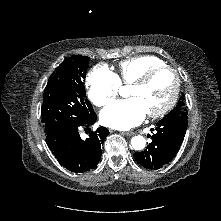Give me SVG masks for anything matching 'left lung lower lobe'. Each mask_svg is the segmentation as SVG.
<instances>
[{
	"label": "left lung lower lobe",
	"instance_id": "obj_1",
	"mask_svg": "<svg viewBox=\"0 0 221 221\" xmlns=\"http://www.w3.org/2000/svg\"><path fill=\"white\" fill-rule=\"evenodd\" d=\"M187 126V119L179 116L164 117L156 124V133L151 136L152 142L144 151L135 153L136 161L153 170L168 164L179 151Z\"/></svg>",
	"mask_w": 221,
	"mask_h": 221
}]
</instances>
